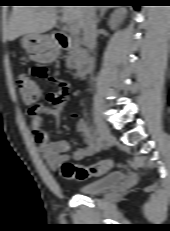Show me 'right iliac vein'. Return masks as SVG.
Returning a JSON list of instances; mask_svg holds the SVG:
<instances>
[{
	"label": "right iliac vein",
	"mask_w": 170,
	"mask_h": 231,
	"mask_svg": "<svg viewBox=\"0 0 170 231\" xmlns=\"http://www.w3.org/2000/svg\"><path fill=\"white\" fill-rule=\"evenodd\" d=\"M94 116L100 140L102 144L105 145L110 139V130L108 126L97 116L96 112H94Z\"/></svg>",
	"instance_id": "obj_1"
}]
</instances>
